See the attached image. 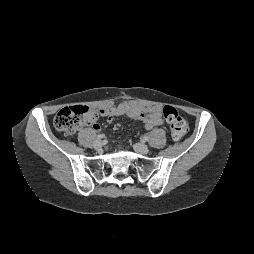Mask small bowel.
<instances>
[{
	"label": "small bowel",
	"mask_w": 254,
	"mask_h": 254,
	"mask_svg": "<svg viewBox=\"0 0 254 254\" xmlns=\"http://www.w3.org/2000/svg\"><path fill=\"white\" fill-rule=\"evenodd\" d=\"M99 114L108 122H112L116 117L126 115L131 119L143 122L147 130L164 125L162 107L159 105L143 106L135 102L123 101L116 106L99 110ZM91 124L95 130L100 129L96 120Z\"/></svg>",
	"instance_id": "1"
}]
</instances>
